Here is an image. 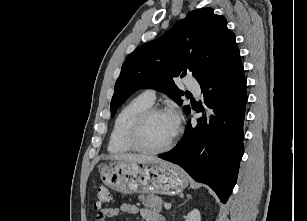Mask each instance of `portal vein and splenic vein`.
<instances>
[{
    "label": "portal vein and splenic vein",
    "mask_w": 307,
    "mask_h": 221,
    "mask_svg": "<svg viewBox=\"0 0 307 221\" xmlns=\"http://www.w3.org/2000/svg\"><path fill=\"white\" fill-rule=\"evenodd\" d=\"M164 208L167 209V210L171 209V204L165 203Z\"/></svg>",
    "instance_id": "18ae733b"
}]
</instances>
